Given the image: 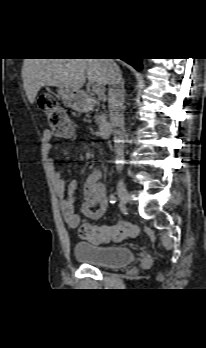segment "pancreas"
Wrapping results in <instances>:
<instances>
[{"instance_id": "pancreas-1", "label": "pancreas", "mask_w": 206, "mask_h": 348, "mask_svg": "<svg viewBox=\"0 0 206 348\" xmlns=\"http://www.w3.org/2000/svg\"><path fill=\"white\" fill-rule=\"evenodd\" d=\"M102 108L104 109V106H102ZM104 115V113L103 112H98V113H96V115H95V122L97 123V124H99L100 123V119H101V117Z\"/></svg>"}]
</instances>
